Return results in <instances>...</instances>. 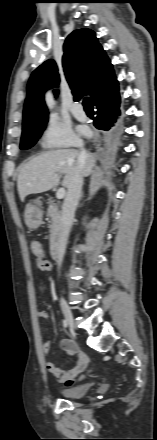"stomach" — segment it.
<instances>
[{
  "mask_svg": "<svg viewBox=\"0 0 157 440\" xmlns=\"http://www.w3.org/2000/svg\"><path fill=\"white\" fill-rule=\"evenodd\" d=\"M43 211L40 200H34L26 205L24 211V220L28 228L36 229L42 223Z\"/></svg>",
  "mask_w": 157,
  "mask_h": 440,
  "instance_id": "stomach-1",
  "label": "stomach"
}]
</instances>
